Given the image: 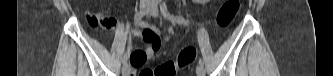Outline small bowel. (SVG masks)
I'll return each instance as SVG.
<instances>
[{
  "instance_id": "small-bowel-1",
  "label": "small bowel",
  "mask_w": 333,
  "mask_h": 76,
  "mask_svg": "<svg viewBox=\"0 0 333 76\" xmlns=\"http://www.w3.org/2000/svg\"><path fill=\"white\" fill-rule=\"evenodd\" d=\"M87 20L90 25L97 27L102 25L106 29L110 30L112 33L116 30L118 26V20L115 17H108L105 13H98L96 16L87 14ZM144 29L143 33L130 29L129 32L133 36H141L148 43L147 49L143 51H130L131 63L134 68H142L145 63L165 44L170 37H166L163 42H160V30L154 26H148L144 23L140 24ZM147 70V68L141 71ZM140 71V72H141Z\"/></svg>"
}]
</instances>
